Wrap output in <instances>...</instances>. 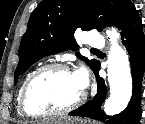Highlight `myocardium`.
<instances>
[{
  "label": "myocardium",
  "mask_w": 145,
  "mask_h": 124,
  "mask_svg": "<svg viewBox=\"0 0 145 124\" xmlns=\"http://www.w3.org/2000/svg\"><path fill=\"white\" fill-rule=\"evenodd\" d=\"M51 70H61V71H66L73 74L72 70L70 69L68 65L64 63H60V62L45 64L39 67L38 69H36L35 71H33V73L29 76V78L25 82L23 89L21 91V96H20V108H21L22 113L26 117L46 118V117L64 115L75 110L84 102L86 93L83 90L81 96L78 99H76L74 102H72L71 104L63 108L48 110V111H40V112L31 111L28 106V95L30 93V90L41 75Z\"/></svg>",
  "instance_id": "myocardium-1"
}]
</instances>
